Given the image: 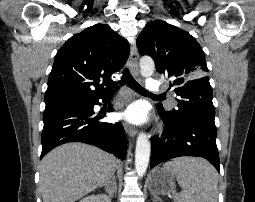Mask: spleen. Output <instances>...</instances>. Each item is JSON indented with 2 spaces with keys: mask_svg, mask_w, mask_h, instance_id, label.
<instances>
[{
  "mask_svg": "<svg viewBox=\"0 0 255 202\" xmlns=\"http://www.w3.org/2000/svg\"><path fill=\"white\" fill-rule=\"evenodd\" d=\"M163 168L176 176L182 188L174 197L175 202H217L218 174L208 161L177 158L165 163Z\"/></svg>",
  "mask_w": 255,
  "mask_h": 202,
  "instance_id": "spleen-1",
  "label": "spleen"
}]
</instances>
